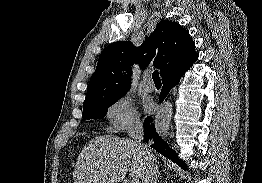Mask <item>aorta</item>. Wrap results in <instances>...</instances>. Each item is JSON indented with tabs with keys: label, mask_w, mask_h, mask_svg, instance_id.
Instances as JSON below:
<instances>
[{
	"label": "aorta",
	"mask_w": 262,
	"mask_h": 183,
	"mask_svg": "<svg viewBox=\"0 0 262 183\" xmlns=\"http://www.w3.org/2000/svg\"><path fill=\"white\" fill-rule=\"evenodd\" d=\"M172 117V104L170 102H164L159 111L156 114L155 127L159 135L165 136L168 133L170 127V121Z\"/></svg>",
	"instance_id": "1"
}]
</instances>
